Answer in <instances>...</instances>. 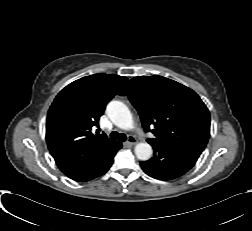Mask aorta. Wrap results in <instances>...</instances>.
Wrapping results in <instances>:
<instances>
[{"mask_svg":"<svg viewBox=\"0 0 252 231\" xmlns=\"http://www.w3.org/2000/svg\"><path fill=\"white\" fill-rule=\"evenodd\" d=\"M107 115L110 120L123 130H131L134 125L132 114L129 108L120 101H111L107 105ZM134 152L136 157L141 161L149 160L153 154V149L147 142L138 143Z\"/></svg>","mask_w":252,"mask_h":231,"instance_id":"obj_1","label":"aorta"}]
</instances>
